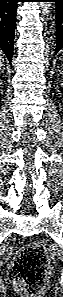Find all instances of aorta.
<instances>
[{
	"mask_svg": "<svg viewBox=\"0 0 63 297\" xmlns=\"http://www.w3.org/2000/svg\"><path fill=\"white\" fill-rule=\"evenodd\" d=\"M40 7L42 9L43 15H49L53 5L51 2H40Z\"/></svg>",
	"mask_w": 63,
	"mask_h": 297,
	"instance_id": "1",
	"label": "aorta"
}]
</instances>
